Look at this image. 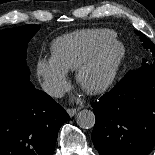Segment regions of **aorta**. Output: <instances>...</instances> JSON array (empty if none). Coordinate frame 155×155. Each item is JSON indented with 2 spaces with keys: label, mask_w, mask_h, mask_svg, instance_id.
Returning a JSON list of instances; mask_svg holds the SVG:
<instances>
[{
  "label": "aorta",
  "mask_w": 155,
  "mask_h": 155,
  "mask_svg": "<svg viewBox=\"0 0 155 155\" xmlns=\"http://www.w3.org/2000/svg\"><path fill=\"white\" fill-rule=\"evenodd\" d=\"M95 115L92 111L84 109L78 112L76 116L77 125L83 129H91L95 125Z\"/></svg>",
  "instance_id": "aorta-1"
}]
</instances>
